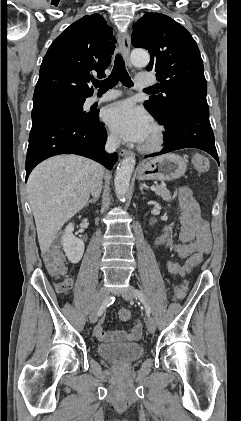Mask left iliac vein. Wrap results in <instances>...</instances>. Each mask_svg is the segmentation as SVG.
I'll use <instances>...</instances> for the list:
<instances>
[{"label":"left iliac vein","mask_w":241,"mask_h":421,"mask_svg":"<svg viewBox=\"0 0 241 421\" xmlns=\"http://www.w3.org/2000/svg\"><path fill=\"white\" fill-rule=\"evenodd\" d=\"M122 297L125 300L131 301L135 298V289L132 286H129L123 293ZM147 329L150 333H154L156 330V323L152 317H148L146 321Z\"/></svg>","instance_id":"4c4485c4"}]
</instances>
